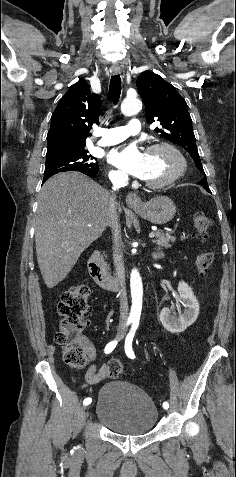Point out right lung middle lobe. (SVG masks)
I'll use <instances>...</instances> for the list:
<instances>
[{
    "mask_svg": "<svg viewBox=\"0 0 236 477\" xmlns=\"http://www.w3.org/2000/svg\"><path fill=\"white\" fill-rule=\"evenodd\" d=\"M94 160L96 159L92 155H88V150L82 149L74 154L46 161L44 177L65 171L95 175L99 171V167Z\"/></svg>",
    "mask_w": 236,
    "mask_h": 477,
    "instance_id": "obj_1",
    "label": "right lung middle lobe"
}]
</instances>
